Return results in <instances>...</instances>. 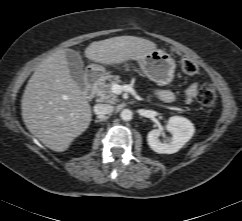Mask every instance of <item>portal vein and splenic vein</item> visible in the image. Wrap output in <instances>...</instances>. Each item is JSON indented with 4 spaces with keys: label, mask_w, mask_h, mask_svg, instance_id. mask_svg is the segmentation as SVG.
Segmentation results:
<instances>
[{
    "label": "portal vein and splenic vein",
    "mask_w": 242,
    "mask_h": 221,
    "mask_svg": "<svg viewBox=\"0 0 242 221\" xmlns=\"http://www.w3.org/2000/svg\"><path fill=\"white\" fill-rule=\"evenodd\" d=\"M113 89H115L118 93H121L123 91H125V92H133V88L130 85H118V84H115L113 86Z\"/></svg>",
    "instance_id": "portal-vein-and-splenic-vein-1"
}]
</instances>
